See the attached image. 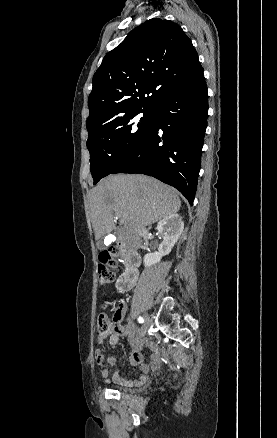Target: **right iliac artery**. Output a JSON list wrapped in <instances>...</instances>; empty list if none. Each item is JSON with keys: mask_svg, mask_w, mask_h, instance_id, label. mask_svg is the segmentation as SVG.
<instances>
[{"mask_svg": "<svg viewBox=\"0 0 277 438\" xmlns=\"http://www.w3.org/2000/svg\"><path fill=\"white\" fill-rule=\"evenodd\" d=\"M138 321H139V323H143V318L140 316L139 318H138Z\"/></svg>", "mask_w": 277, "mask_h": 438, "instance_id": "obj_1", "label": "right iliac artery"}]
</instances>
